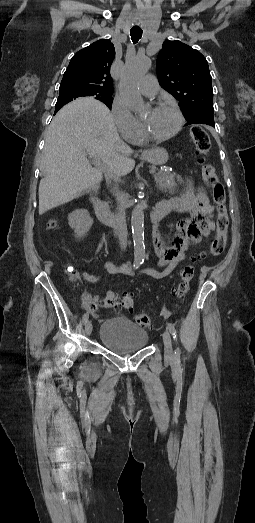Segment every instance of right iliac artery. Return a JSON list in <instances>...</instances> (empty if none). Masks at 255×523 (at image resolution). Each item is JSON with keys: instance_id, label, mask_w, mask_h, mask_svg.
<instances>
[{"instance_id": "1", "label": "right iliac artery", "mask_w": 255, "mask_h": 523, "mask_svg": "<svg viewBox=\"0 0 255 523\" xmlns=\"http://www.w3.org/2000/svg\"><path fill=\"white\" fill-rule=\"evenodd\" d=\"M139 265H140L139 262H135L134 265H133V267H134V268H138ZM88 318H89V314H88V313H85V314L83 315V323H86V322L88 321Z\"/></svg>"}]
</instances>
